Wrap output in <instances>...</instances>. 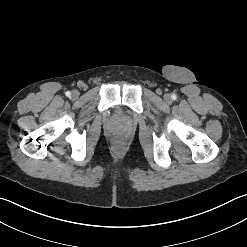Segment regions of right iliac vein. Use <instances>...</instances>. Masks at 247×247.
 <instances>
[{"mask_svg":"<svg viewBox=\"0 0 247 247\" xmlns=\"http://www.w3.org/2000/svg\"><path fill=\"white\" fill-rule=\"evenodd\" d=\"M71 96L72 98L77 99L79 97V91L73 90Z\"/></svg>","mask_w":247,"mask_h":247,"instance_id":"obj_1","label":"right iliac vein"}]
</instances>
